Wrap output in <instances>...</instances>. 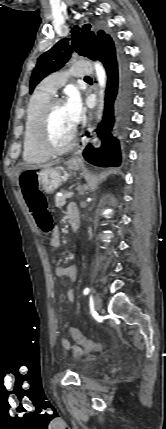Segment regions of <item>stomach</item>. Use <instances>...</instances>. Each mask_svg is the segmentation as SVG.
<instances>
[{
    "instance_id": "stomach-1",
    "label": "stomach",
    "mask_w": 166,
    "mask_h": 429,
    "mask_svg": "<svg viewBox=\"0 0 166 429\" xmlns=\"http://www.w3.org/2000/svg\"><path fill=\"white\" fill-rule=\"evenodd\" d=\"M69 170H79L81 162L78 160H70L67 162ZM63 169L60 167L46 168L37 172L38 185H41V190L47 194H52L59 188L62 183Z\"/></svg>"
}]
</instances>
